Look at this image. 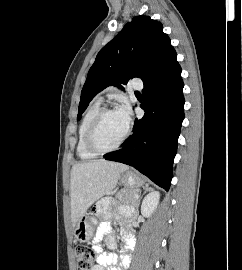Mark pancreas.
Here are the masks:
<instances>
[{"mask_svg":"<svg viewBox=\"0 0 242 270\" xmlns=\"http://www.w3.org/2000/svg\"><path fill=\"white\" fill-rule=\"evenodd\" d=\"M138 193L129 189H124L118 194V199L124 205H129L132 207H136L138 201L136 200L135 196Z\"/></svg>","mask_w":242,"mask_h":270,"instance_id":"pancreas-1","label":"pancreas"}]
</instances>
